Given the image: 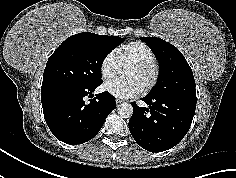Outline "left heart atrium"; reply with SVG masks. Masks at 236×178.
<instances>
[{
	"mask_svg": "<svg viewBox=\"0 0 236 178\" xmlns=\"http://www.w3.org/2000/svg\"><path fill=\"white\" fill-rule=\"evenodd\" d=\"M104 89L114 97L128 99L140 94L143 87L134 79H124L107 82Z\"/></svg>",
	"mask_w": 236,
	"mask_h": 178,
	"instance_id": "1",
	"label": "left heart atrium"
}]
</instances>
